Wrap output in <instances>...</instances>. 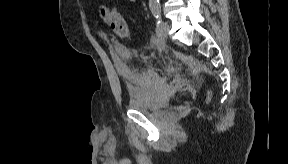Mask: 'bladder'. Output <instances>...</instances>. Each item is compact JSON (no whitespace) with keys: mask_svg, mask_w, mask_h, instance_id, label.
<instances>
[{"mask_svg":"<svg viewBox=\"0 0 288 164\" xmlns=\"http://www.w3.org/2000/svg\"><path fill=\"white\" fill-rule=\"evenodd\" d=\"M112 46L120 61L129 62L132 59L131 52L123 44L113 42ZM159 103L158 93L148 88L133 94L130 98L129 107L134 111L149 114L157 109Z\"/></svg>","mask_w":288,"mask_h":164,"instance_id":"31cf9c89","label":"bladder"}]
</instances>
